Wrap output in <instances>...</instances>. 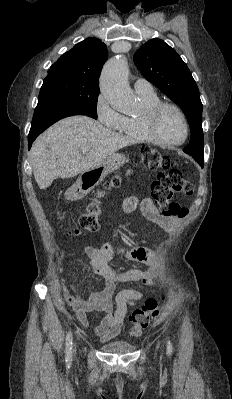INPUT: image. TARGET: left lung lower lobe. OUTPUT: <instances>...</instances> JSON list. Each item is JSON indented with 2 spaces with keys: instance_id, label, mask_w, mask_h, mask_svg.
I'll use <instances>...</instances> for the list:
<instances>
[{
  "instance_id": "0a47b994",
  "label": "left lung lower lobe",
  "mask_w": 232,
  "mask_h": 399,
  "mask_svg": "<svg viewBox=\"0 0 232 399\" xmlns=\"http://www.w3.org/2000/svg\"><path fill=\"white\" fill-rule=\"evenodd\" d=\"M201 166H203V164H204V161L203 162H198Z\"/></svg>"
}]
</instances>
